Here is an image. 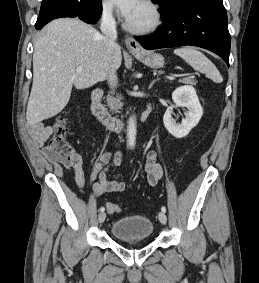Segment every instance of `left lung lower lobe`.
Here are the masks:
<instances>
[{"mask_svg": "<svg viewBox=\"0 0 259 283\" xmlns=\"http://www.w3.org/2000/svg\"><path fill=\"white\" fill-rule=\"evenodd\" d=\"M162 18L164 24L157 32L135 37L143 48L198 46L219 55L229 66L231 39L223 0H191Z\"/></svg>", "mask_w": 259, "mask_h": 283, "instance_id": "left-lung-lower-lobe-1", "label": "left lung lower lobe"}]
</instances>
